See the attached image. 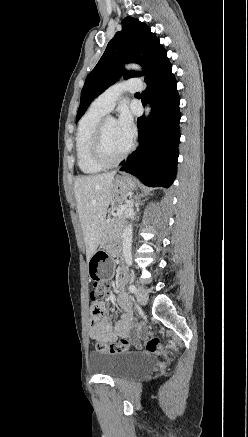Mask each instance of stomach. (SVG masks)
Returning <instances> with one entry per match:
<instances>
[{
	"mask_svg": "<svg viewBox=\"0 0 248 437\" xmlns=\"http://www.w3.org/2000/svg\"><path fill=\"white\" fill-rule=\"evenodd\" d=\"M136 188L135 180L128 175H119L114 179V191L112 205L124 200L125 196ZM115 265L111 256L104 250H97L89 260L88 272L90 279H97L98 286H107L110 272L114 271Z\"/></svg>",
	"mask_w": 248,
	"mask_h": 437,
	"instance_id": "obj_1",
	"label": "stomach"
}]
</instances>
